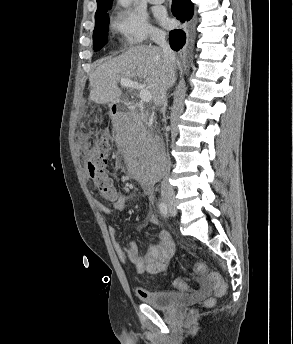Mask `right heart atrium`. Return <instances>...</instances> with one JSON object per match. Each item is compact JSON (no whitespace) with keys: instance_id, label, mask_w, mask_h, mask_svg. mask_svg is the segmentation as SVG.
Listing matches in <instances>:
<instances>
[{"instance_id":"d8ad5b80","label":"right heart atrium","mask_w":293,"mask_h":344,"mask_svg":"<svg viewBox=\"0 0 293 344\" xmlns=\"http://www.w3.org/2000/svg\"><path fill=\"white\" fill-rule=\"evenodd\" d=\"M110 27L127 49L140 48L148 41L163 37V33L152 27L143 14L133 9H118L110 20Z\"/></svg>"}]
</instances>
